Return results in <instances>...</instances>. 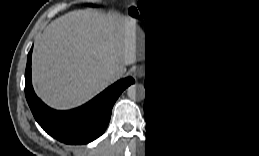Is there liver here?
Segmentation results:
<instances>
[{
	"mask_svg": "<svg viewBox=\"0 0 259 156\" xmlns=\"http://www.w3.org/2000/svg\"><path fill=\"white\" fill-rule=\"evenodd\" d=\"M145 59V40L123 19L74 10L52 21L34 45L32 83L50 107L70 109L101 92L110 73Z\"/></svg>",
	"mask_w": 259,
	"mask_h": 156,
	"instance_id": "1",
	"label": "liver"
}]
</instances>
